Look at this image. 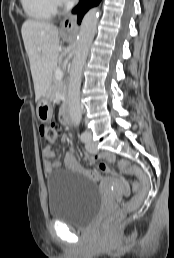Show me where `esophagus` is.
<instances>
[{"label": "esophagus", "mask_w": 174, "mask_h": 258, "mask_svg": "<svg viewBox=\"0 0 174 258\" xmlns=\"http://www.w3.org/2000/svg\"><path fill=\"white\" fill-rule=\"evenodd\" d=\"M77 15L69 14L62 23V31L67 33H75L77 31Z\"/></svg>", "instance_id": "esophagus-1"}]
</instances>
